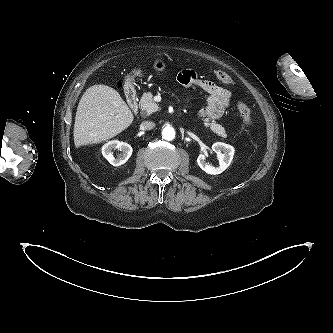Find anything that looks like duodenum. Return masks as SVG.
I'll use <instances>...</instances> for the list:
<instances>
[{"mask_svg":"<svg viewBox=\"0 0 333 333\" xmlns=\"http://www.w3.org/2000/svg\"><path fill=\"white\" fill-rule=\"evenodd\" d=\"M125 93L132 112L136 114L138 112V98L132 82L128 81L126 83Z\"/></svg>","mask_w":333,"mask_h":333,"instance_id":"obj_1","label":"duodenum"}]
</instances>
